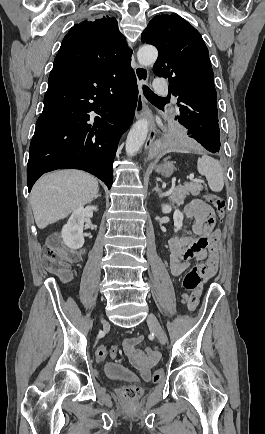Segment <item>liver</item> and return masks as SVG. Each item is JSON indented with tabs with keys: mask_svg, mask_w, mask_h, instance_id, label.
<instances>
[{
	"mask_svg": "<svg viewBox=\"0 0 265 434\" xmlns=\"http://www.w3.org/2000/svg\"><path fill=\"white\" fill-rule=\"evenodd\" d=\"M98 192V180L86 172L61 170L42 176L30 194L36 226L44 230L67 218L79 206L90 204Z\"/></svg>",
	"mask_w": 265,
	"mask_h": 434,
	"instance_id": "obj_1",
	"label": "liver"
}]
</instances>
